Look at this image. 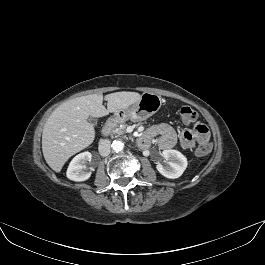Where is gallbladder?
Here are the masks:
<instances>
[{
    "mask_svg": "<svg viewBox=\"0 0 265 265\" xmlns=\"http://www.w3.org/2000/svg\"><path fill=\"white\" fill-rule=\"evenodd\" d=\"M87 121H88L90 124H92V125H96V124H97V120H96V118L93 117V116H89L88 119H87Z\"/></svg>",
    "mask_w": 265,
    "mask_h": 265,
    "instance_id": "obj_1",
    "label": "gallbladder"
}]
</instances>
